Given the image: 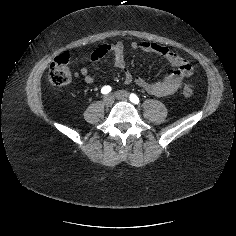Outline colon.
Returning a JSON list of instances; mask_svg holds the SVG:
<instances>
[{"label":"colon","instance_id":"obj_1","mask_svg":"<svg viewBox=\"0 0 236 236\" xmlns=\"http://www.w3.org/2000/svg\"><path fill=\"white\" fill-rule=\"evenodd\" d=\"M70 54L64 53L54 59L48 71V82L53 87L68 85L72 80L70 69ZM183 93L185 97L192 96L193 91L190 85H185Z\"/></svg>","mask_w":236,"mask_h":236}]
</instances>
